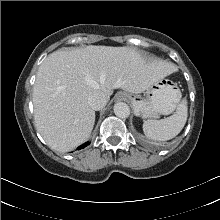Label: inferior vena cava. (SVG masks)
Here are the masks:
<instances>
[{
    "label": "inferior vena cava",
    "mask_w": 220,
    "mask_h": 220,
    "mask_svg": "<svg viewBox=\"0 0 220 220\" xmlns=\"http://www.w3.org/2000/svg\"><path fill=\"white\" fill-rule=\"evenodd\" d=\"M90 107L94 110H100L107 104V98L104 94L95 93L88 98Z\"/></svg>",
    "instance_id": "602c4592"
}]
</instances>
